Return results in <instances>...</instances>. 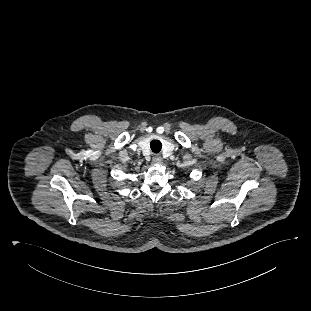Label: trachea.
Instances as JSON below:
<instances>
[{
	"instance_id": "3493384b",
	"label": "trachea",
	"mask_w": 311,
	"mask_h": 311,
	"mask_svg": "<svg viewBox=\"0 0 311 311\" xmlns=\"http://www.w3.org/2000/svg\"><path fill=\"white\" fill-rule=\"evenodd\" d=\"M150 148L154 153H159L162 148V143L159 140H152L150 142Z\"/></svg>"
}]
</instances>
